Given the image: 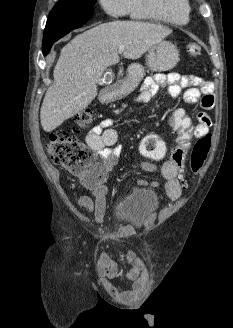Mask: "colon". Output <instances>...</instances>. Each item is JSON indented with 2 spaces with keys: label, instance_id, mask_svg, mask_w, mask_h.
<instances>
[{
  "label": "colon",
  "instance_id": "5ec220e1",
  "mask_svg": "<svg viewBox=\"0 0 233 328\" xmlns=\"http://www.w3.org/2000/svg\"><path fill=\"white\" fill-rule=\"evenodd\" d=\"M186 51L191 56H197L200 54L201 47L192 42L187 45ZM73 120L75 132L85 130L91 126L94 113L91 109H84L77 113ZM169 124L177 135L175 146L168 150L158 135L150 133L141 140V154L154 161L161 160L169 154L168 159L181 172L189 162L192 172L198 173L210 152L211 136L207 134L198 138L189 153L194 130L191 119L183 110L178 109L170 114ZM46 149L54 164L64 167L84 183L91 184L103 179L104 167L98 162L94 151L77 140L73 134L61 130L51 132L47 138Z\"/></svg>",
  "mask_w": 233,
  "mask_h": 328
}]
</instances>
